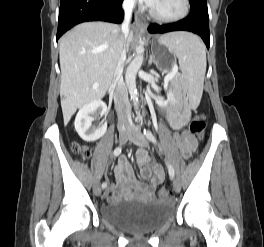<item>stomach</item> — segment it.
<instances>
[{
  "mask_svg": "<svg viewBox=\"0 0 264 247\" xmlns=\"http://www.w3.org/2000/svg\"><path fill=\"white\" fill-rule=\"evenodd\" d=\"M164 36H169V34ZM164 36L160 37L157 43L152 44V49L156 62L155 68H159L164 71H169L170 68H173V63L170 62H173L174 58L172 53H168V45L163 43Z\"/></svg>",
  "mask_w": 264,
  "mask_h": 247,
  "instance_id": "obj_1",
  "label": "stomach"
}]
</instances>
